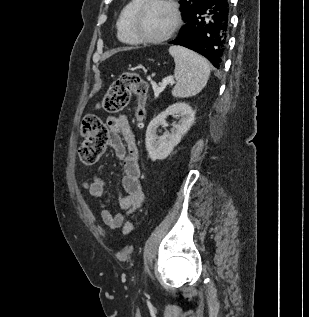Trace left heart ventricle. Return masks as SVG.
<instances>
[{"mask_svg": "<svg viewBox=\"0 0 309 317\" xmlns=\"http://www.w3.org/2000/svg\"><path fill=\"white\" fill-rule=\"evenodd\" d=\"M174 23L172 9L163 3L150 4L141 14L138 30L147 37H159L166 34Z\"/></svg>", "mask_w": 309, "mask_h": 317, "instance_id": "b2bd125f", "label": "left heart ventricle"}]
</instances>
